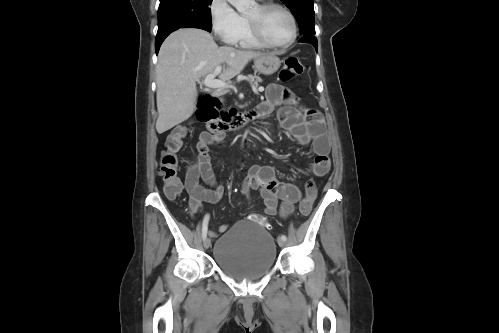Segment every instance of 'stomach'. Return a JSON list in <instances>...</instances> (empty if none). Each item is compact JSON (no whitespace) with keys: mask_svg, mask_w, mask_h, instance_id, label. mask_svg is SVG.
<instances>
[{"mask_svg":"<svg viewBox=\"0 0 499 333\" xmlns=\"http://www.w3.org/2000/svg\"><path fill=\"white\" fill-rule=\"evenodd\" d=\"M280 65V59L272 53H265L254 59L255 70L264 75H271L275 73L278 71Z\"/></svg>","mask_w":499,"mask_h":333,"instance_id":"stomach-1","label":"stomach"}]
</instances>
